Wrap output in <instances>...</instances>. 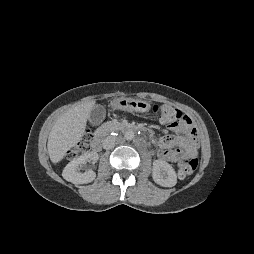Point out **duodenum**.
Instances as JSON below:
<instances>
[{"instance_id":"1","label":"duodenum","mask_w":254,"mask_h":254,"mask_svg":"<svg viewBox=\"0 0 254 254\" xmlns=\"http://www.w3.org/2000/svg\"><path fill=\"white\" fill-rule=\"evenodd\" d=\"M124 130L126 131H138L141 130L147 134L151 133V130L146 127V126H135V125H128L123 127ZM103 131L98 130L95 135L93 136L90 146L93 151H99L101 148V136H102Z\"/></svg>"}]
</instances>
